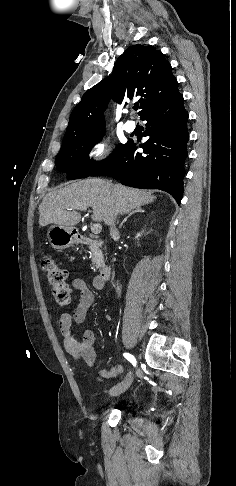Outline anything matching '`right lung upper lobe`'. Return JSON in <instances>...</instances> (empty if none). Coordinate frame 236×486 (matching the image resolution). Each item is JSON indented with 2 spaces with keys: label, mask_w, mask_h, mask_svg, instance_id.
Instances as JSON below:
<instances>
[{
  "label": "right lung upper lobe",
  "mask_w": 236,
  "mask_h": 486,
  "mask_svg": "<svg viewBox=\"0 0 236 486\" xmlns=\"http://www.w3.org/2000/svg\"><path fill=\"white\" fill-rule=\"evenodd\" d=\"M172 67L152 46L128 47L115 62L112 75L85 92L70 115L63 144L104 128V111L111 96L121 103L139 96V115L149 106L178 94Z\"/></svg>",
  "instance_id": "obj_1"
}]
</instances>
